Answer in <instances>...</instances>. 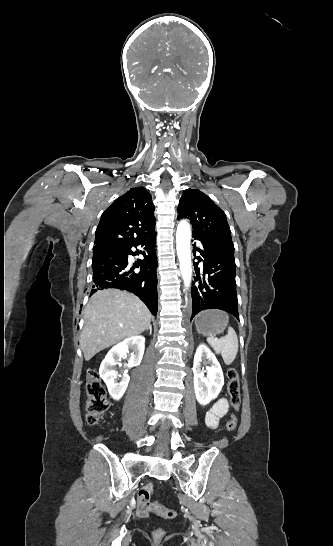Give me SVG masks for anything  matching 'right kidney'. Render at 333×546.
<instances>
[{"instance_id":"ca27d5eb","label":"right kidney","mask_w":333,"mask_h":546,"mask_svg":"<svg viewBox=\"0 0 333 546\" xmlns=\"http://www.w3.org/2000/svg\"><path fill=\"white\" fill-rule=\"evenodd\" d=\"M130 348L133 349V353L131 354L126 366L128 368L138 366L142 361L145 349V338L143 336L127 338L114 346L105 356L99 369L100 376L106 383L108 391L114 400H119L123 396L130 378L126 373H124L122 379L117 382L116 378L118 376V372L115 371L113 367L118 364L117 359L126 355Z\"/></svg>"}]
</instances>
